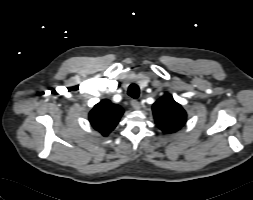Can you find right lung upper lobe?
I'll list each match as a JSON object with an SVG mask.
<instances>
[{"instance_id": "right-lung-upper-lobe-1", "label": "right lung upper lobe", "mask_w": 253, "mask_h": 200, "mask_svg": "<svg viewBox=\"0 0 253 200\" xmlns=\"http://www.w3.org/2000/svg\"><path fill=\"white\" fill-rule=\"evenodd\" d=\"M124 110L108 99L100 101L89 113V121L94 129L107 136L117 125Z\"/></svg>"}]
</instances>
